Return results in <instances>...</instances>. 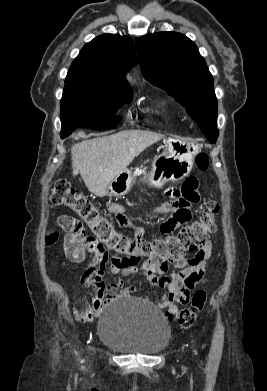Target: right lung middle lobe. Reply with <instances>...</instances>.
<instances>
[{"label":"right lung middle lobe","instance_id":"right-lung-middle-lobe-1","mask_svg":"<svg viewBox=\"0 0 267 391\" xmlns=\"http://www.w3.org/2000/svg\"><path fill=\"white\" fill-rule=\"evenodd\" d=\"M132 100L131 91L109 88L90 79L65 81L61 99V135L76 127L103 130L117 125V111Z\"/></svg>","mask_w":267,"mask_h":391}]
</instances>
